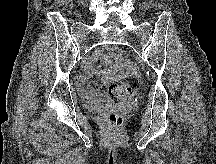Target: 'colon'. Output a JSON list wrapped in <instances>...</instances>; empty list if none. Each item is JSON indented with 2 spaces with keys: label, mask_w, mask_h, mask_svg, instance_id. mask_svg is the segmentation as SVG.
<instances>
[{
  "label": "colon",
  "mask_w": 216,
  "mask_h": 164,
  "mask_svg": "<svg viewBox=\"0 0 216 164\" xmlns=\"http://www.w3.org/2000/svg\"><path fill=\"white\" fill-rule=\"evenodd\" d=\"M108 84L107 81H103ZM108 91L111 97L125 100L132 98L137 94L138 88L136 84L130 81H121L117 83L108 84ZM123 121L122 114L116 109H110L106 113V122L110 127H118Z\"/></svg>",
  "instance_id": "obj_1"
}]
</instances>
